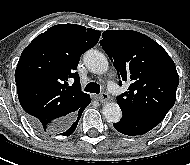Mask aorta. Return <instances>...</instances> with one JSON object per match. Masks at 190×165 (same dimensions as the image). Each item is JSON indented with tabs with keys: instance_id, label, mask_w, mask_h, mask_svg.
<instances>
[{
	"instance_id": "1",
	"label": "aorta",
	"mask_w": 190,
	"mask_h": 165,
	"mask_svg": "<svg viewBox=\"0 0 190 165\" xmlns=\"http://www.w3.org/2000/svg\"><path fill=\"white\" fill-rule=\"evenodd\" d=\"M84 63L88 70L94 74L105 73L109 66L106 56L98 50L87 51L84 56ZM102 114L110 123H117L122 117L121 108L114 102L104 104Z\"/></svg>"
}]
</instances>
